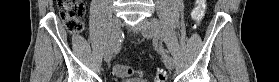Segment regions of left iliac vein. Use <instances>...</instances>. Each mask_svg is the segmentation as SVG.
Here are the masks:
<instances>
[{"label":"left iliac vein","instance_id":"1","mask_svg":"<svg viewBox=\"0 0 279 82\" xmlns=\"http://www.w3.org/2000/svg\"><path fill=\"white\" fill-rule=\"evenodd\" d=\"M139 29H140L141 34L147 39L153 38L156 33L155 25L148 20H143L139 25ZM163 56H164L163 62L165 64V66L168 69L173 70L174 61H173L172 57L167 53V51L164 52Z\"/></svg>","mask_w":279,"mask_h":82}]
</instances>
